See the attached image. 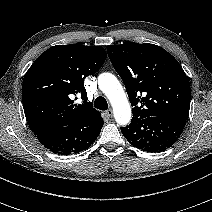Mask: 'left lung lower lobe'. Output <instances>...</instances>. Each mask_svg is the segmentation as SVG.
<instances>
[{"mask_svg": "<svg viewBox=\"0 0 212 212\" xmlns=\"http://www.w3.org/2000/svg\"><path fill=\"white\" fill-rule=\"evenodd\" d=\"M186 120L166 116L133 118L121 131L136 148L147 152H161L171 147L181 135Z\"/></svg>", "mask_w": 212, "mask_h": 212, "instance_id": "obj_1", "label": "left lung lower lobe"}]
</instances>
